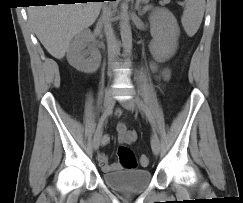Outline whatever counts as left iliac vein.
I'll return each mask as SVG.
<instances>
[{
	"label": "left iliac vein",
	"instance_id": "obj_1",
	"mask_svg": "<svg viewBox=\"0 0 243 203\" xmlns=\"http://www.w3.org/2000/svg\"><path fill=\"white\" fill-rule=\"evenodd\" d=\"M121 104L130 111H134L136 108V103L133 98L121 100ZM151 148L155 155H158L160 152V141L156 134H153L151 137Z\"/></svg>",
	"mask_w": 243,
	"mask_h": 203
}]
</instances>
